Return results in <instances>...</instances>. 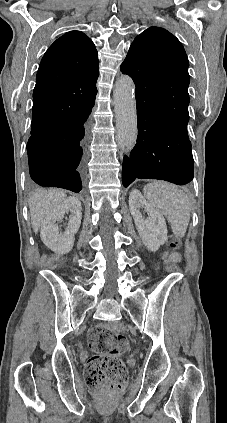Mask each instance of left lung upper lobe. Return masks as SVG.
Returning a JSON list of instances; mask_svg holds the SVG:
<instances>
[{
  "label": "left lung upper lobe",
  "instance_id": "1",
  "mask_svg": "<svg viewBox=\"0 0 227 423\" xmlns=\"http://www.w3.org/2000/svg\"><path fill=\"white\" fill-rule=\"evenodd\" d=\"M188 67L180 41L163 28L150 27L131 44L121 71L132 77L143 105L172 113L188 112Z\"/></svg>",
  "mask_w": 227,
  "mask_h": 423
}]
</instances>
